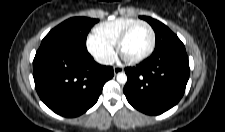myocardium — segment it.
<instances>
[{
	"mask_svg": "<svg viewBox=\"0 0 225 132\" xmlns=\"http://www.w3.org/2000/svg\"><path fill=\"white\" fill-rule=\"evenodd\" d=\"M138 25H145L150 32L151 40H150V45L148 49L146 50L145 53L140 55L139 57L133 58V59H128L122 56L121 54V48L125 40L128 38L129 34L131 31ZM155 43H156V35L153 27L146 21L142 20H137L134 23L130 24L118 37L117 42H116V50L119 56L128 64H138L144 60H146L154 51L155 48Z\"/></svg>",
	"mask_w": 225,
	"mask_h": 132,
	"instance_id": "obj_1",
	"label": "myocardium"
}]
</instances>
